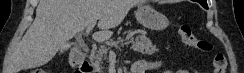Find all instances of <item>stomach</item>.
<instances>
[{
  "label": "stomach",
  "instance_id": "stomach-1",
  "mask_svg": "<svg viewBox=\"0 0 244 73\" xmlns=\"http://www.w3.org/2000/svg\"><path fill=\"white\" fill-rule=\"evenodd\" d=\"M135 15L139 23L152 31L164 30L169 25L168 18L150 5H140Z\"/></svg>",
  "mask_w": 244,
  "mask_h": 73
}]
</instances>
